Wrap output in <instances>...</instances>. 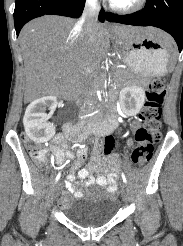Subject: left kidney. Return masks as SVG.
I'll use <instances>...</instances> for the list:
<instances>
[{
    "instance_id": "1",
    "label": "left kidney",
    "mask_w": 183,
    "mask_h": 246,
    "mask_svg": "<svg viewBox=\"0 0 183 246\" xmlns=\"http://www.w3.org/2000/svg\"><path fill=\"white\" fill-rule=\"evenodd\" d=\"M122 111L128 116L138 114L145 101V92L139 86L123 88L119 94Z\"/></svg>"
}]
</instances>
